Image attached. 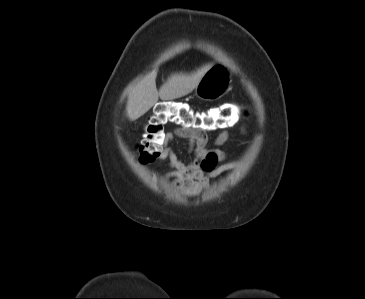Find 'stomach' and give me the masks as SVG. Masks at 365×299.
<instances>
[{"instance_id":"obj_1","label":"stomach","mask_w":365,"mask_h":299,"mask_svg":"<svg viewBox=\"0 0 365 299\" xmlns=\"http://www.w3.org/2000/svg\"><path fill=\"white\" fill-rule=\"evenodd\" d=\"M232 72L228 65H212L200 79L195 95L201 100L213 101L225 95L231 88Z\"/></svg>"}]
</instances>
